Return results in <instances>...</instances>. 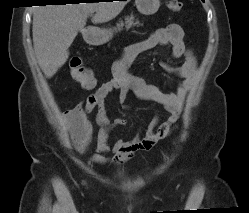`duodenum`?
Returning <instances> with one entry per match:
<instances>
[{
    "label": "duodenum",
    "instance_id": "410a0bca",
    "mask_svg": "<svg viewBox=\"0 0 249 213\" xmlns=\"http://www.w3.org/2000/svg\"><path fill=\"white\" fill-rule=\"evenodd\" d=\"M93 30H89V33H91ZM89 42H94V40L91 38V36L88 37Z\"/></svg>",
    "mask_w": 249,
    "mask_h": 213
}]
</instances>
